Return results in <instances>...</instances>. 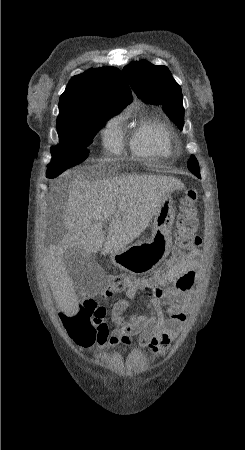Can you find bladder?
I'll list each match as a JSON object with an SVG mask.
<instances>
[{
	"label": "bladder",
	"instance_id": "31cf9c89",
	"mask_svg": "<svg viewBox=\"0 0 245 450\" xmlns=\"http://www.w3.org/2000/svg\"><path fill=\"white\" fill-rule=\"evenodd\" d=\"M114 359H115V357H113V358H110V359H109V361H113Z\"/></svg>",
	"mask_w": 245,
	"mask_h": 450
}]
</instances>
